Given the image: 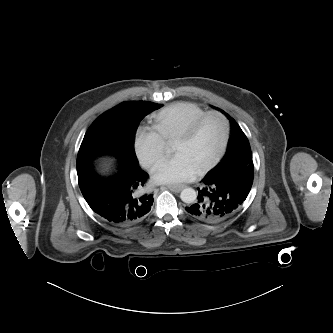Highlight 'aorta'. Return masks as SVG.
<instances>
[{
  "label": "aorta",
  "instance_id": "aorta-1",
  "mask_svg": "<svg viewBox=\"0 0 333 333\" xmlns=\"http://www.w3.org/2000/svg\"><path fill=\"white\" fill-rule=\"evenodd\" d=\"M180 198L183 202L190 204L195 202L196 198H197V194L196 191L193 188H185L181 194H180Z\"/></svg>",
  "mask_w": 333,
  "mask_h": 333
}]
</instances>
